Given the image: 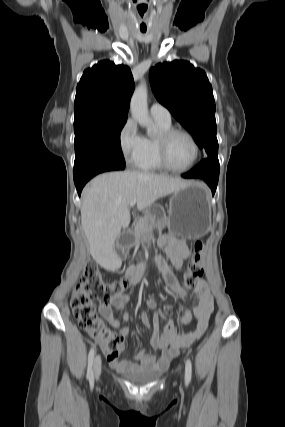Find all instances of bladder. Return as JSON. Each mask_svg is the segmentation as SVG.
<instances>
[{"mask_svg":"<svg viewBox=\"0 0 285 427\" xmlns=\"http://www.w3.org/2000/svg\"><path fill=\"white\" fill-rule=\"evenodd\" d=\"M125 375L127 376V378H129L132 382L136 384H147L156 380L161 375V373L159 371L141 374L127 372L125 373Z\"/></svg>","mask_w":285,"mask_h":427,"instance_id":"obj_1","label":"bladder"}]
</instances>
